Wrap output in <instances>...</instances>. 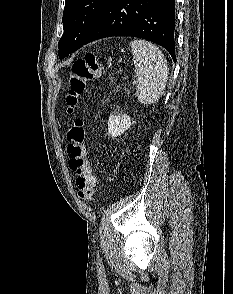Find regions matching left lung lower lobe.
Returning a JSON list of instances; mask_svg holds the SVG:
<instances>
[{"mask_svg":"<svg viewBox=\"0 0 233 294\" xmlns=\"http://www.w3.org/2000/svg\"><path fill=\"white\" fill-rule=\"evenodd\" d=\"M175 0H111L84 44L110 36L140 37L163 46L176 61Z\"/></svg>","mask_w":233,"mask_h":294,"instance_id":"obj_1","label":"left lung lower lobe"}]
</instances>
